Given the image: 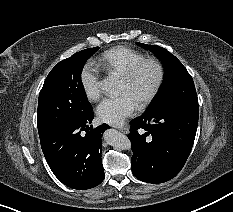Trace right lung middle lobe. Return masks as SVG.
I'll return each instance as SVG.
<instances>
[{"label":"right lung middle lobe","instance_id":"dd1d6c3e","mask_svg":"<svg viewBox=\"0 0 233 212\" xmlns=\"http://www.w3.org/2000/svg\"><path fill=\"white\" fill-rule=\"evenodd\" d=\"M97 50L98 47L79 51L59 62L48 74L38 101L40 137L92 111L81 82V72L87 59Z\"/></svg>","mask_w":233,"mask_h":212}]
</instances>
